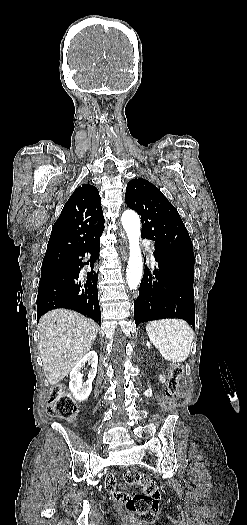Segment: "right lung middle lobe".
<instances>
[{
  "instance_id": "right-lung-middle-lobe-1",
  "label": "right lung middle lobe",
  "mask_w": 247,
  "mask_h": 525,
  "mask_svg": "<svg viewBox=\"0 0 247 525\" xmlns=\"http://www.w3.org/2000/svg\"><path fill=\"white\" fill-rule=\"evenodd\" d=\"M66 260H67L66 256H55V257H52L48 261H46V263L42 266L41 269H46V268L57 266L59 264L64 263Z\"/></svg>"
}]
</instances>
